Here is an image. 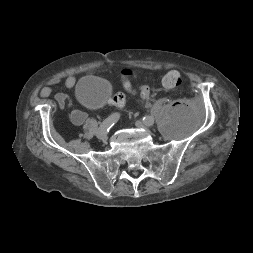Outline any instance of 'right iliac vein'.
Instances as JSON below:
<instances>
[{
    "label": "right iliac vein",
    "instance_id": "right-iliac-vein-1",
    "mask_svg": "<svg viewBox=\"0 0 253 253\" xmlns=\"http://www.w3.org/2000/svg\"><path fill=\"white\" fill-rule=\"evenodd\" d=\"M97 138H99L100 140H106L108 137V132L106 129H99L97 134H96Z\"/></svg>",
    "mask_w": 253,
    "mask_h": 253
}]
</instances>
